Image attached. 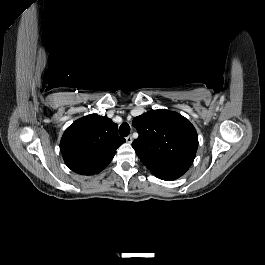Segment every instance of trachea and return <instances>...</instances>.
Instances as JSON below:
<instances>
[{"instance_id":"obj_1","label":"trachea","mask_w":265,"mask_h":265,"mask_svg":"<svg viewBox=\"0 0 265 265\" xmlns=\"http://www.w3.org/2000/svg\"><path fill=\"white\" fill-rule=\"evenodd\" d=\"M119 134L122 137H127L130 134V126L128 125V123L121 124V126L119 127Z\"/></svg>"}]
</instances>
